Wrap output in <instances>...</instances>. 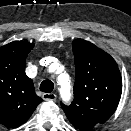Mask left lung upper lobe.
<instances>
[{
    "instance_id": "obj_1",
    "label": "left lung upper lobe",
    "mask_w": 131,
    "mask_h": 131,
    "mask_svg": "<svg viewBox=\"0 0 131 131\" xmlns=\"http://www.w3.org/2000/svg\"><path fill=\"white\" fill-rule=\"evenodd\" d=\"M75 60L74 100L61 103L71 124L89 131L104 123L116 110L122 92V78L115 60L93 43L72 42Z\"/></svg>"
}]
</instances>
